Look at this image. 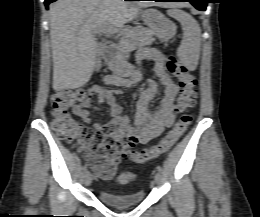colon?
Instances as JSON below:
<instances>
[{"label":"colon","instance_id":"obj_1","mask_svg":"<svg viewBox=\"0 0 260 217\" xmlns=\"http://www.w3.org/2000/svg\"><path fill=\"white\" fill-rule=\"evenodd\" d=\"M166 69L179 79L180 96L176 110L183 114L180 121L149 149L139 152L128 144H123L118 150V143L111 136L102 130L79 123L70 113V109L90 103L93 97L91 92L82 89L60 90L52 95V129L61 139L82 150L86 154L87 165L96 175L106 180L113 178L119 155L137 164L155 159L168 151L184 134L192 120L187 110L194 106L196 99V79L188 68L171 56L166 61Z\"/></svg>","mask_w":260,"mask_h":217}]
</instances>
